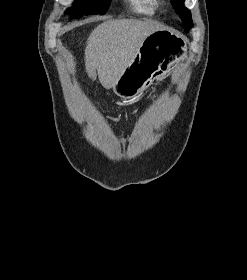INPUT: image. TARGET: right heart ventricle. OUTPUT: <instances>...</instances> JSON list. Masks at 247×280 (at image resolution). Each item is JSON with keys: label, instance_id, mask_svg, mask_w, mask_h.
I'll return each mask as SVG.
<instances>
[{"label": "right heart ventricle", "instance_id": "e07e8e85", "mask_svg": "<svg viewBox=\"0 0 247 280\" xmlns=\"http://www.w3.org/2000/svg\"><path fill=\"white\" fill-rule=\"evenodd\" d=\"M130 7L144 15H154L159 8L158 0H128Z\"/></svg>", "mask_w": 247, "mask_h": 280}]
</instances>
